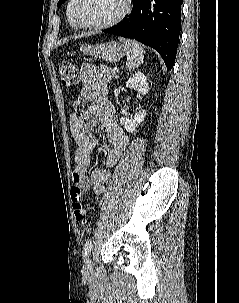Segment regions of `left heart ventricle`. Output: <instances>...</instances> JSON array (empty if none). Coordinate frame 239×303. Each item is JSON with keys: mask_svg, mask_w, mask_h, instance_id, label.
<instances>
[{"mask_svg": "<svg viewBox=\"0 0 239 303\" xmlns=\"http://www.w3.org/2000/svg\"><path fill=\"white\" fill-rule=\"evenodd\" d=\"M123 6V0H81L78 13L83 22L98 24L118 16Z\"/></svg>", "mask_w": 239, "mask_h": 303, "instance_id": "b2bd125f", "label": "left heart ventricle"}]
</instances>
